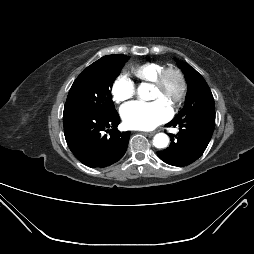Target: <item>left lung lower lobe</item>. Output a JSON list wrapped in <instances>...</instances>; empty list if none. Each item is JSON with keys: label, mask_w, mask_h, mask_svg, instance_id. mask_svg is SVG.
<instances>
[{"label": "left lung lower lobe", "mask_w": 254, "mask_h": 254, "mask_svg": "<svg viewBox=\"0 0 254 254\" xmlns=\"http://www.w3.org/2000/svg\"><path fill=\"white\" fill-rule=\"evenodd\" d=\"M179 129L170 134V146L157 152L159 158L172 166H186L197 160L205 151L215 127V109L192 106L168 124Z\"/></svg>", "instance_id": "1"}]
</instances>
